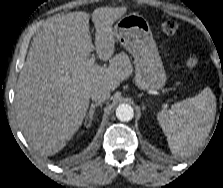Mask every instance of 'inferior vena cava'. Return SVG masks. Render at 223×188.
Returning a JSON list of instances; mask_svg holds the SVG:
<instances>
[{
	"label": "inferior vena cava",
	"mask_w": 223,
	"mask_h": 188,
	"mask_svg": "<svg viewBox=\"0 0 223 188\" xmlns=\"http://www.w3.org/2000/svg\"><path fill=\"white\" fill-rule=\"evenodd\" d=\"M90 97L97 103H102L109 99L110 90L106 87H98L91 91Z\"/></svg>",
	"instance_id": "obj_1"
}]
</instances>
